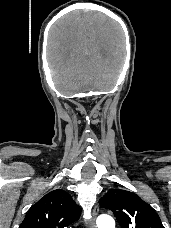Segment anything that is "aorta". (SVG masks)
I'll return each mask as SVG.
<instances>
[{
  "instance_id": "1",
  "label": "aorta",
  "mask_w": 171,
  "mask_h": 228,
  "mask_svg": "<svg viewBox=\"0 0 171 228\" xmlns=\"http://www.w3.org/2000/svg\"><path fill=\"white\" fill-rule=\"evenodd\" d=\"M98 228H115V221L109 215H101L97 219Z\"/></svg>"
}]
</instances>
